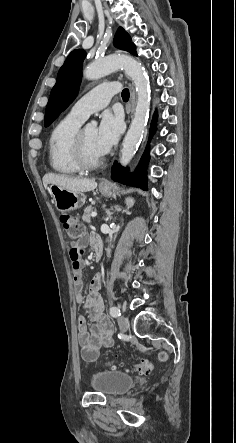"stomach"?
Listing matches in <instances>:
<instances>
[{
	"label": "stomach",
	"instance_id": "0dacf381",
	"mask_svg": "<svg viewBox=\"0 0 236 443\" xmlns=\"http://www.w3.org/2000/svg\"><path fill=\"white\" fill-rule=\"evenodd\" d=\"M48 190L57 210L60 212L73 211L85 204L86 197L82 192H72L54 184H51ZM100 192L104 196H111L113 189L111 187L100 188Z\"/></svg>",
	"mask_w": 236,
	"mask_h": 443
}]
</instances>
